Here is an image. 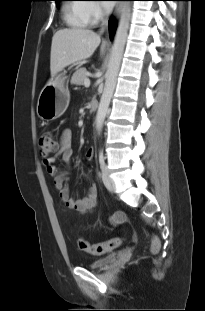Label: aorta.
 Listing matches in <instances>:
<instances>
[{
    "mask_svg": "<svg viewBox=\"0 0 205 311\" xmlns=\"http://www.w3.org/2000/svg\"><path fill=\"white\" fill-rule=\"evenodd\" d=\"M129 19H130V2L125 1L122 6L118 28L112 44L111 57L105 75L106 78L105 87L100 99L95 119V128L98 132H101L103 128L104 120L116 86L117 75L119 72L124 46L126 42Z\"/></svg>",
    "mask_w": 205,
    "mask_h": 311,
    "instance_id": "1",
    "label": "aorta"
}]
</instances>
